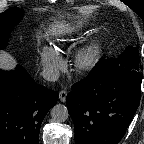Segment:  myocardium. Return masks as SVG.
Masks as SVG:
<instances>
[{"mask_svg":"<svg viewBox=\"0 0 144 144\" xmlns=\"http://www.w3.org/2000/svg\"><path fill=\"white\" fill-rule=\"evenodd\" d=\"M102 57V44L94 40L84 45L75 55L74 66L78 73H89L99 64Z\"/></svg>","mask_w":144,"mask_h":144,"instance_id":"obj_1","label":"myocardium"}]
</instances>
